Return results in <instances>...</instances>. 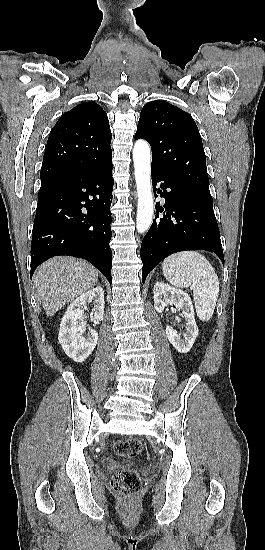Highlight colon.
Listing matches in <instances>:
<instances>
[{"instance_id": "1", "label": "colon", "mask_w": 265, "mask_h": 550, "mask_svg": "<svg viewBox=\"0 0 265 550\" xmlns=\"http://www.w3.org/2000/svg\"><path fill=\"white\" fill-rule=\"evenodd\" d=\"M141 450V442L134 438L120 440L114 445L115 453L125 458H135L140 454ZM110 485L113 491L118 495L132 498L139 492L141 481L135 471L121 469L113 474Z\"/></svg>"}]
</instances>
